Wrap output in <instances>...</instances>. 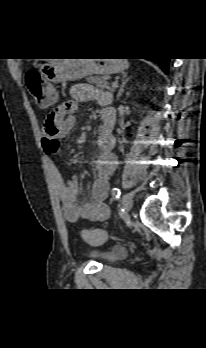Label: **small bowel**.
I'll use <instances>...</instances> for the list:
<instances>
[{
	"mask_svg": "<svg viewBox=\"0 0 206 348\" xmlns=\"http://www.w3.org/2000/svg\"><path fill=\"white\" fill-rule=\"evenodd\" d=\"M69 94L71 100L62 103L46 117L41 146L46 156L53 187L62 203L65 219L70 223H78L81 220L103 221L110 216V208L105 200L110 178L117 166L114 153L107 148H102L98 153L94 161L95 178L91 188V200L82 203L78 201V177L73 176L70 180H66L54 162L53 156L60 148L61 139L72 130L74 126L72 114L80 103L97 101L103 108L113 107V97L111 93L85 83L72 86Z\"/></svg>",
	"mask_w": 206,
	"mask_h": 348,
	"instance_id": "1",
	"label": "small bowel"
}]
</instances>
